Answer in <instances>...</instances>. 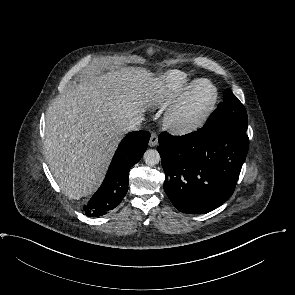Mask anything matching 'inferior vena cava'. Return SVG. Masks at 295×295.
Returning <instances> with one entry per match:
<instances>
[{
	"instance_id": "602c4592",
	"label": "inferior vena cava",
	"mask_w": 295,
	"mask_h": 295,
	"mask_svg": "<svg viewBox=\"0 0 295 295\" xmlns=\"http://www.w3.org/2000/svg\"><path fill=\"white\" fill-rule=\"evenodd\" d=\"M142 124H143V118L135 117L123 128V131L131 132V131L139 130Z\"/></svg>"
}]
</instances>
